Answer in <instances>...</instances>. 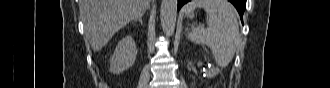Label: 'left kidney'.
Listing matches in <instances>:
<instances>
[{
    "label": "left kidney",
    "mask_w": 330,
    "mask_h": 88,
    "mask_svg": "<svg viewBox=\"0 0 330 88\" xmlns=\"http://www.w3.org/2000/svg\"><path fill=\"white\" fill-rule=\"evenodd\" d=\"M215 71L214 70H211V71H209L208 73H207V76H213V75H215Z\"/></svg>",
    "instance_id": "obj_1"
}]
</instances>
